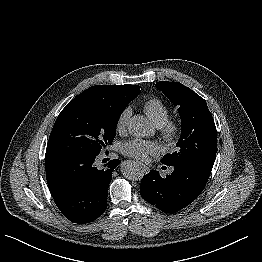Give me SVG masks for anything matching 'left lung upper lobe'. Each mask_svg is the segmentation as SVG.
<instances>
[{"instance_id": "1", "label": "left lung upper lobe", "mask_w": 262, "mask_h": 262, "mask_svg": "<svg viewBox=\"0 0 262 262\" xmlns=\"http://www.w3.org/2000/svg\"><path fill=\"white\" fill-rule=\"evenodd\" d=\"M178 106L182 120L178 148L165 155L161 162L167 166H196L212 169L217 151V131L205 100L178 82L160 81L155 85Z\"/></svg>"}]
</instances>
